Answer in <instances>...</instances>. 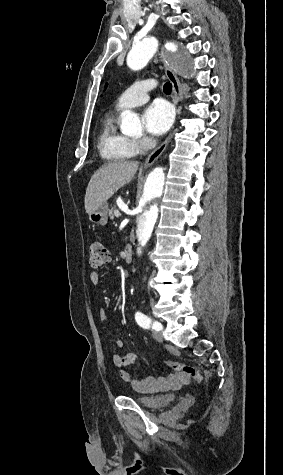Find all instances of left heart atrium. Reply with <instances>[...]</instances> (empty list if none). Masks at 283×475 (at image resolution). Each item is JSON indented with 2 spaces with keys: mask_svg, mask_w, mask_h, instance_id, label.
<instances>
[{
  "mask_svg": "<svg viewBox=\"0 0 283 475\" xmlns=\"http://www.w3.org/2000/svg\"><path fill=\"white\" fill-rule=\"evenodd\" d=\"M175 120L173 106L165 100H156L144 111L145 130L152 136L159 137L167 133Z\"/></svg>",
  "mask_w": 283,
  "mask_h": 475,
  "instance_id": "left-heart-atrium-1",
  "label": "left heart atrium"
}]
</instances>
